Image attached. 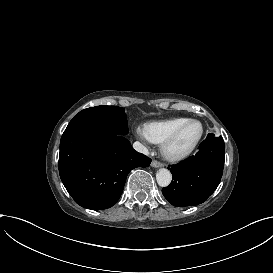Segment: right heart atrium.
I'll use <instances>...</instances> for the list:
<instances>
[{
  "mask_svg": "<svg viewBox=\"0 0 273 273\" xmlns=\"http://www.w3.org/2000/svg\"><path fill=\"white\" fill-rule=\"evenodd\" d=\"M135 133L137 137L141 139L145 138L144 131L141 128H136Z\"/></svg>",
  "mask_w": 273,
  "mask_h": 273,
  "instance_id": "right-heart-atrium-1",
  "label": "right heart atrium"
}]
</instances>
